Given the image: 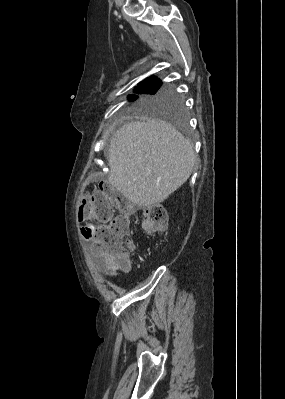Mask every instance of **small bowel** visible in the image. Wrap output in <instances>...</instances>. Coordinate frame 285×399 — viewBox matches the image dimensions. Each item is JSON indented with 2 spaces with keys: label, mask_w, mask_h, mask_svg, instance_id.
Masks as SVG:
<instances>
[{
  "label": "small bowel",
  "mask_w": 285,
  "mask_h": 399,
  "mask_svg": "<svg viewBox=\"0 0 285 399\" xmlns=\"http://www.w3.org/2000/svg\"><path fill=\"white\" fill-rule=\"evenodd\" d=\"M105 263H106V269H105V271H106V273L107 274H112V273H114L115 272V268L113 267V265L111 264V262L109 261V260H105Z\"/></svg>",
  "instance_id": "1"
}]
</instances>
